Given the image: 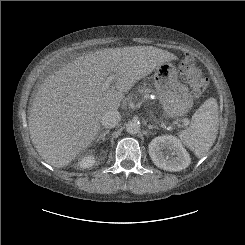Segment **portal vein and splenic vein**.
Masks as SVG:
<instances>
[{
    "label": "portal vein and splenic vein",
    "mask_w": 245,
    "mask_h": 245,
    "mask_svg": "<svg viewBox=\"0 0 245 245\" xmlns=\"http://www.w3.org/2000/svg\"><path fill=\"white\" fill-rule=\"evenodd\" d=\"M113 79H114V76H109L106 79V81H105V83L103 85V88L105 90L110 86V84H111V82H112ZM183 123H184L185 126H187V125H189L190 122H189V120L187 118H185V119H183Z\"/></svg>",
    "instance_id": "obj_1"
}]
</instances>
